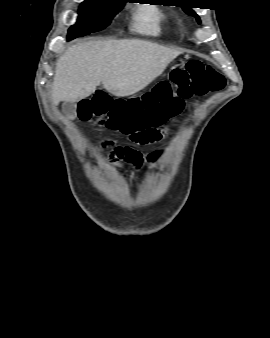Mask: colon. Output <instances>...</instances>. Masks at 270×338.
<instances>
[{
  "label": "colon",
  "mask_w": 270,
  "mask_h": 338,
  "mask_svg": "<svg viewBox=\"0 0 270 338\" xmlns=\"http://www.w3.org/2000/svg\"><path fill=\"white\" fill-rule=\"evenodd\" d=\"M224 84L225 79L220 73L193 59L184 70H174L169 81L160 82L142 98L112 100L108 93L96 91L81 103L79 119H101L102 124L145 146L165 135L162 128L182 112L185 101L193 95L219 91ZM127 159L138 164L134 150L128 151Z\"/></svg>",
  "instance_id": "colon-1"
}]
</instances>
